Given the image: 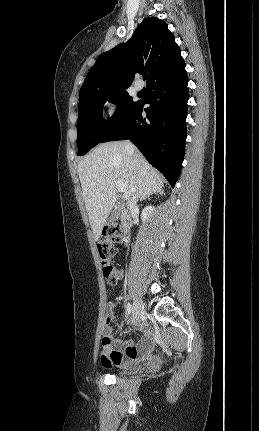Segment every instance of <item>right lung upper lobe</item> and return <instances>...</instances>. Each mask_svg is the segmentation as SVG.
<instances>
[{
    "instance_id": "1",
    "label": "right lung upper lobe",
    "mask_w": 259,
    "mask_h": 431,
    "mask_svg": "<svg viewBox=\"0 0 259 431\" xmlns=\"http://www.w3.org/2000/svg\"><path fill=\"white\" fill-rule=\"evenodd\" d=\"M184 59L167 24L158 18L145 19L126 43L102 53L90 69L79 102L91 94L128 88L135 73L147 72V85L175 70Z\"/></svg>"
}]
</instances>
